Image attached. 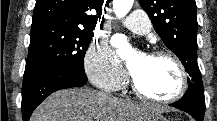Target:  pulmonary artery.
Listing matches in <instances>:
<instances>
[{
    "instance_id": "e3ab8cb5",
    "label": "pulmonary artery",
    "mask_w": 217,
    "mask_h": 121,
    "mask_svg": "<svg viewBox=\"0 0 217 121\" xmlns=\"http://www.w3.org/2000/svg\"><path fill=\"white\" fill-rule=\"evenodd\" d=\"M122 23L131 31L138 34H147L151 30V22L147 14L141 10H135L126 17Z\"/></svg>"
}]
</instances>
